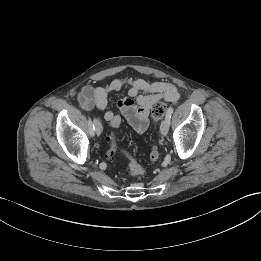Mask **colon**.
Here are the masks:
<instances>
[{"label":"colon","mask_w":261,"mask_h":261,"mask_svg":"<svg viewBox=\"0 0 261 261\" xmlns=\"http://www.w3.org/2000/svg\"><path fill=\"white\" fill-rule=\"evenodd\" d=\"M168 105L164 102H157L153 105L151 110V117L154 123H157L165 114ZM111 126L118 127L121 123V119L116 117L111 122ZM109 141V151H108V158L109 160H113L115 155L119 152V148L116 141V136L112 132L108 136ZM159 159V150L157 146H153L150 151V160L152 162H156ZM130 174L132 176H139L144 173V168L141 164H139L134 158L130 157Z\"/></svg>","instance_id":"5ec220e1"}]
</instances>
